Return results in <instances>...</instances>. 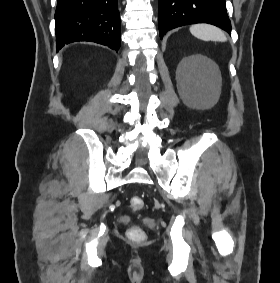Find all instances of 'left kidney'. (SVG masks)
I'll return each mask as SVG.
<instances>
[{
    "instance_id": "1",
    "label": "left kidney",
    "mask_w": 280,
    "mask_h": 283,
    "mask_svg": "<svg viewBox=\"0 0 280 283\" xmlns=\"http://www.w3.org/2000/svg\"><path fill=\"white\" fill-rule=\"evenodd\" d=\"M197 59H205V58L202 57V56H194V57H191V58L186 59L185 62H194V61H196Z\"/></svg>"
}]
</instances>
